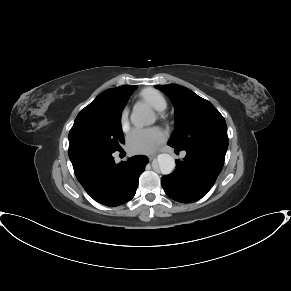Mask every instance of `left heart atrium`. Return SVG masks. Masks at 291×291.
Wrapping results in <instances>:
<instances>
[{"instance_id":"1","label":"left heart atrium","mask_w":291,"mask_h":291,"mask_svg":"<svg viewBox=\"0 0 291 291\" xmlns=\"http://www.w3.org/2000/svg\"><path fill=\"white\" fill-rule=\"evenodd\" d=\"M166 135L159 127L135 128L127 137V149L133 154H149L164 142Z\"/></svg>"}]
</instances>
